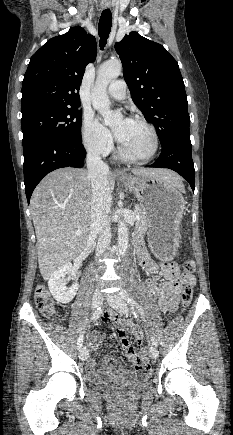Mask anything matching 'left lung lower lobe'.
Segmentation results:
<instances>
[{
    "instance_id": "1",
    "label": "left lung lower lobe",
    "mask_w": 233,
    "mask_h": 435,
    "mask_svg": "<svg viewBox=\"0 0 233 435\" xmlns=\"http://www.w3.org/2000/svg\"><path fill=\"white\" fill-rule=\"evenodd\" d=\"M147 167L169 168L176 171L189 182L194 191L195 170L190 134L179 135L162 145V152L158 160Z\"/></svg>"
}]
</instances>
